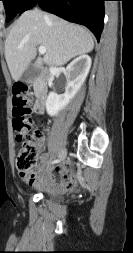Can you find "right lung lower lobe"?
Masks as SVG:
<instances>
[{
  "mask_svg": "<svg viewBox=\"0 0 133 253\" xmlns=\"http://www.w3.org/2000/svg\"><path fill=\"white\" fill-rule=\"evenodd\" d=\"M105 0H26L18 14L31 9L36 4L50 13L74 23L88 27L97 40L104 25Z\"/></svg>",
  "mask_w": 133,
  "mask_h": 253,
  "instance_id": "obj_1",
  "label": "right lung lower lobe"
}]
</instances>
